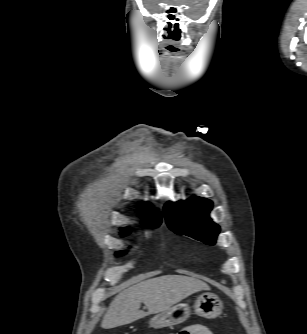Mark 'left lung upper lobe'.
Listing matches in <instances>:
<instances>
[{
    "label": "left lung upper lobe",
    "instance_id": "left-lung-upper-lobe-1",
    "mask_svg": "<svg viewBox=\"0 0 307 334\" xmlns=\"http://www.w3.org/2000/svg\"><path fill=\"white\" fill-rule=\"evenodd\" d=\"M211 209L212 201L193 196L178 203H166L164 215L172 231L213 245L220 228L209 218Z\"/></svg>",
    "mask_w": 307,
    "mask_h": 334
}]
</instances>
